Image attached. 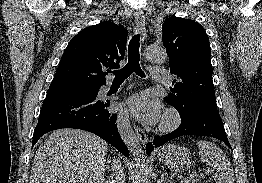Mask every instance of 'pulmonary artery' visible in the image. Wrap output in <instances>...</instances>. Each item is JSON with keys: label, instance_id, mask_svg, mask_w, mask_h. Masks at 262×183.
I'll use <instances>...</instances> for the list:
<instances>
[{"label": "pulmonary artery", "instance_id": "e3ab8cb5", "mask_svg": "<svg viewBox=\"0 0 262 183\" xmlns=\"http://www.w3.org/2000/svg\"><path fill=\"white\" fill-rule=\"evenodd\" d=\"M151 75L154 81L156 82H165L167 81V75L163 73L160 69H152Z\"/></svg>", "mask_w": 262, "mask_h": 183}]
</instances>
